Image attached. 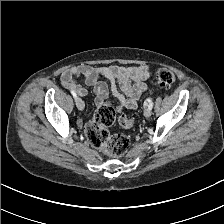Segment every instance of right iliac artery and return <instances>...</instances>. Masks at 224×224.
I'll return each mask as SVG.
<instances>
[{"mask_svg":"<svg viewBox=\"0 0 224 224\" xmlns=\"http://www.w3.org/2000/svg\"><path fill=\"white\" fill-rule=\"evenodd\" d=\"M71 94L73 95V97L75 98V100L77 99V95L75 93V91L71 90Z\"/></svg>","mask_w":224,"mask_h":224,"instance_id":"82829eb1","label":"right iliac artery"}]
</instances>
